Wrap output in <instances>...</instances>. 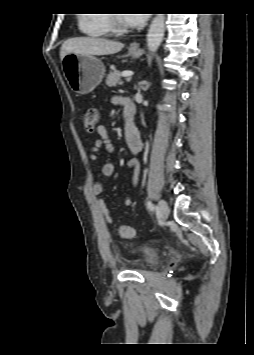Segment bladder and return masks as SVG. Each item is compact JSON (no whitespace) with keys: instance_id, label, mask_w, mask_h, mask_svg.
Returning <instances> with one entry per match:
<instances>
[{"instance_id":"1","label":"bladder","mask_w":254,"mask_h":355,"mask_svg":"<svg viewBox=\"0 0 254 355\" xmlns=\"http://www.w3.org/2000/svg\"><path fill=\"white\" fill-rule=\"evenodd\" d=\"M141 256V269H149L155 267L159 263V256L155 249L149 246H141L139 248Z\"/></svg>"}]
</instances>
